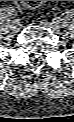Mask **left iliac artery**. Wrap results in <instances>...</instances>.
<instances>
[{
	"instance_id": "obj_1",
	"label": "left iliac artery",
	"mask_w": 74,
	"mask_h": 122,
	"mask_svg": "<svg viewBox=\"0 0 74 122\" xmlns=\"http://www.w3.org/2000/svg\"><path fill=\"white\" fill-rule=\"evenodd\" d=\"M55 23L57 24L58 27H60V21L59 20H56Z\"/></svg>"
}]
</instances>
